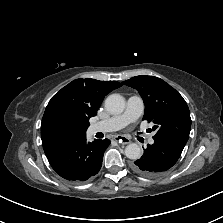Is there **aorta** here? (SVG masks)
I'll list each match as a JSON object with an SVG mask.
<instances>
[{
	"instance_id": "aorta-1",
	"label": "aorta",
	"mask_w": 223,
	"mask_h": 223,
	"mask_svg": "<svg viewBox=\"0 0 223 223\" xmlns=\"http://www.w3.org/2000/svg\"><path fill=\"white\" fill-rule=\"evenodd\" d=\"M105 108L111 114H121L125 109V99L119 94H111L105 100ZM125 155L129 159H139L141 148L136 143L128 144L125 148Z\"/></svg>"
}]
</instances>
